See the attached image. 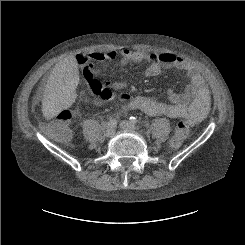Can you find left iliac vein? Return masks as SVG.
I'll use <instances>...</instances> for the list:
<instances>
[{"instance_id":"obj_1","label":"left iliac vein","mask_w":245,"mask_h":245,"mask_svg":"<svg viewBox=\"0 0 245 245\" xmlns=\"http://www.w3.org/2000/svg\"><path fill=\"white\" fill-rule=\"evenodd\" d=\"M120 128L125 131H135L136 130L135 125L129 121H122L120 123Z\"/></svg>"}]
</instances>
